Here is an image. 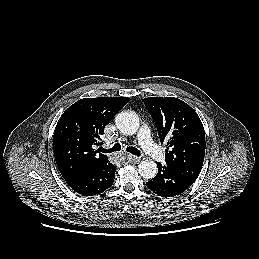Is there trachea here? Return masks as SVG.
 I'll list each match as a JSON object with an SVG mask.
<instances>
[{
	"label": "trachea",
	"mask_w": 259,
	"mask_h": 259,
	"mask_svg": "<svg viewBox=\"0 0 259 259\" xmlns=\"http://www.w3.org/2000/svg\"><path fill=\"white\" fill-rule=\"evenodd\" d=\"M120 150H121V145L119 143L115 144L110 149L101 148V152H104V153H113V152H117V151H120ZM126 151L133 154V155H136V156L141 155L140 151L138 149H136L135 147H127Z\"/></svg>",
	"instance_id": "obj_1"
}]
</instances>
